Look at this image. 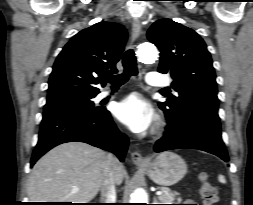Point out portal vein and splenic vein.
Segmentation results:
<instances>
[{
    "label": "portal vein and splenic vein",
    "mask_w": 253,
    "mask_h": 205,
    "mask_svg": "<svg viewBox=\"0 0 253 205\" xmlns=\"http://www.w3.org/2000/svg\"><path fill=\"white\" fill-rule=\"evenodd\" d=\"M73 191H74V192L78 191V187H74V188H73ZM162 194H163L162 191H157V192H156V195H157V196H160V195H162Z\"/></svg>",
    "instance_id": "1"
}]
</instances>
